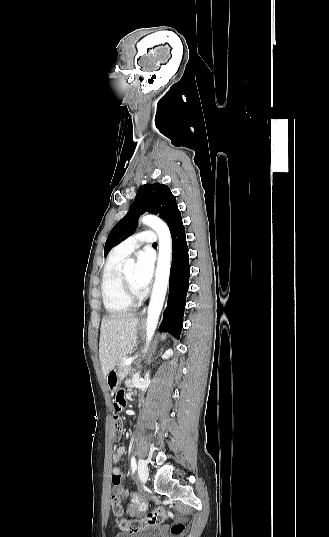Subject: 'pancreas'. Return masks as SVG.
Segmentation results:
<instances>
[{
  "mask_svg": "<svg viewBox=\"0 0 329 537\" xmlns=\"http://www.w3.org/2000/svg\"><path fill=\"white\" fill-rule=\"evenodd\" d=\"M126 359L123 358L119 361L117 370H118V376L119 377H125L127 373L130 371L129 367L125 365Z\"/></svg>",
  "mask_w": 329,
  "mask_h": 537,
  "instance_id": "1",
  "label": "pancreas"
}]
</instances>
